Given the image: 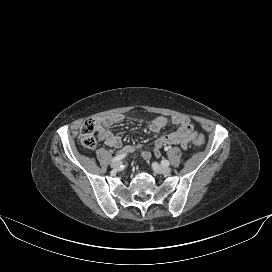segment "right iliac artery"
Segmentation results:
<instances>
[{
	"label": "right iliac artery",
	"mask_w": 272,
	"mask_h": 272,
	"mask_svg": "<svg viewBox=\"0 0 272 272\" xmlns=\"http://www.w3.org/2000/svg\"><path fill=\"white\" fill-rule=\"evenodd\" d=\"M131 150L129 146L124 147L118 154L111 159V162L119 161L120 159L124 158L125 155Z\"/></svg>",
	"instance_id": "1"
}]
</instances>
